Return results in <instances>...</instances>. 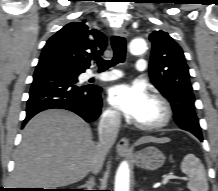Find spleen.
Here are the masks:
<instances>
[{"label": "spleen", "mask_w": 218, "mask_h": 191, "mask_svg": "<svg viewBox=\"0 0 218 191\" xmlns=\"http://www.w3.org/2000/svg\"><path fill=\"white\" fill-rule=\"evenodd\" d=\"M181 171L188 175L187 188L191 191H208V182L203 164L194 154H187L181 163Z\"/></svg>", "instance_id": "spleen-1"}]
</instances>
